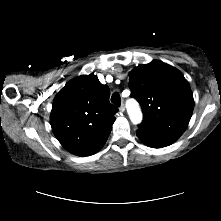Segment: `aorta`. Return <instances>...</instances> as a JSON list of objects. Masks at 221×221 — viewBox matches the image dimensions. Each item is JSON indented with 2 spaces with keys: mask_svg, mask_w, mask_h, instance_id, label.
Wrapping results in <instances>:
<instances>
[{
  "mask_svg": "<svg viewBox=\"0 0 221 221\" xmlns=\"http://www.w3.org/2000/svg\"><path fill=\"white\" fill-rule=\"evenodd\" d=\"M127 111L134 124H139L142 121V112L136 101L131 100L127 103Z\"/></svg>",
  "mask_w": 221,
  "mask_h": 221,
  "instance_id": "aorta-1",
  "label": "aorta"
}]
</instances>
